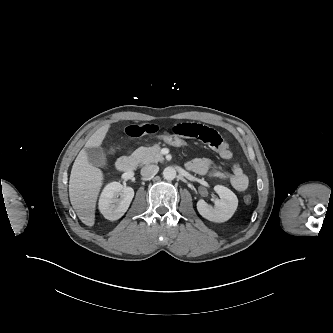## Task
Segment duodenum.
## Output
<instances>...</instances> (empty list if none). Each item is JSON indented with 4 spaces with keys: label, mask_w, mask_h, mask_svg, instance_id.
Returning <instances> with one entry per match:
<instances>
[{
    "label": "duodenum",
    "mask_w": 333,
    "mask_h": 333,
    "mask_svg": "<svg viewBox=\"0 0 333 333\" xmlns=\"http://www.w3.org/2000/svg\"><path fill=\"white\" fill-rule=\"evenodd\" d=\"M137 166V159L133 155H127L119 158L116 167L121 172H131Z\"/></svg>",
    "instance_id": "duodenum-1"
}]
</instances>
